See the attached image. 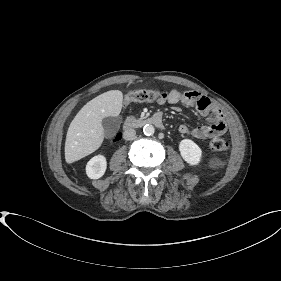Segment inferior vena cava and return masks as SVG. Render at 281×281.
Instances as JSON below:
<instances>
[{"instance_id":"1","label":"inferior vena cava","mask_w":281,"mask_h":281,"mask_svg":"<svg viewBox=\"0 0 281 281\" xmlns=\"http://www.w3.org/2000/svg\"><path fill=\"white\" fill-rule=\"evenodd\" d=\"M135 135H136V131L134 129H126L123 132V138L125 140H131L135 137Z\"/></svg>"}]
</instances>
